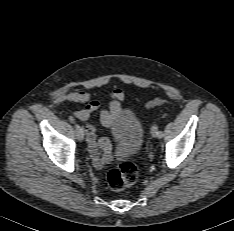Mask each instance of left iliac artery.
I'll list each match as a JSON object with an SVG mask.
<instances>
[{"label": "left iliac artery", "mask_w": 234, "mask_h": 231, "mask_svg": "<svg viewBox=\"0 0 234 231\" xmlns=\"http://www.w3.org/2000/svg\"><path fill=\"white\" fill-rule=\"evenodd\" d=\"M164 136L163 132L161 130L158 131V137L162 138Z\"/></svg>", "instance_id": "obj_1"}]
</instances>
